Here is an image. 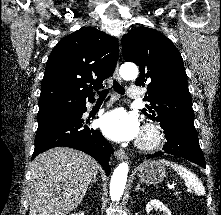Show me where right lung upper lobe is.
Segmentation results:
<instances>
[{"instance_id": "obj_1", "label": "right lung upper lobe", "mask_w": 221, "mask_h": 215, "mask_svg": "<svg viewBox=\"0 0 221 215\" xmlns=\"http://www.w3.org/2000/svg\"><path fill=\"white\" fill-rule=\"evenodd\" d=\"M118 39L95 28L75 31L52 50L41 84L38 117L77 111L115 70Z\"/></svg>"}]
</instances>
